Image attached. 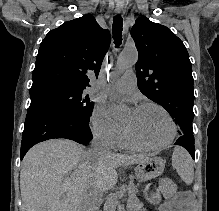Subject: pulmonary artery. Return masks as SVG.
Segmentation results:
<instances>
[{
  "label": "pulmonary artery",
  "mask_w": 219,
  "mask_h": 211,
  "mask_svg": "<svg viewBox=\"0 0 219 211\" xmlns=\"http://www.w3.org/2000/svg\"><path fill=\"white\" fill-rule=\"evenodd\" d=\"M137 80L133 71H126L112 86V89L122 94L136 90Z\"/></svg>",
  "instance_id": "1"
}]
</instances>
